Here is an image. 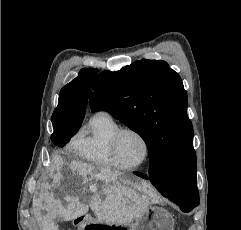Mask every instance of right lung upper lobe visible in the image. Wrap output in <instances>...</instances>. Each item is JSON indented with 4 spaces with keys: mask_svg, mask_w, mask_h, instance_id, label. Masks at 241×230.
I'll return each instance as SVG.
<instances>
[{
    "mask_svg": "<svg viewBox=\"0 0 241 230\" xmlns=\"http://www.w3.org/2000/svg\"><path fill=\"white\" fill-rule=\"evenodd\" d=\"M97 69L84 68L79 76L65 85L59 95L58 106L53 112V122H73L81 124L85 116L87 98L91 94Z\"/></svg>",
    "mask_w": 241,
    "mask_h": 230,
    "instance_id": "obj_1",
    "label": "right lung upper lobe"
}]
</instances>
